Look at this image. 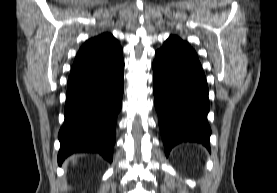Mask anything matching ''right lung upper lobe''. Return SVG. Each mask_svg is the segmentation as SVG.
I'll list each match as a JSON object with an SVG mask.
<instances>
[{
    "instance_id": "cb5924a9",
    "label": "right lung upper lobe",
    "mask_w": 277,
    "mask_h": 193,
    "mask_svg": "<svg viewBox=\"0 0 277 193\" xmlns=\"http://www.w3.org/2000/svg\"><path fill=\"white\" fill-rule=\"evenodd\" d=\"M121 48L117 40L108 33L101 34L85 42L74 60L73 68H80L98 63Z\"/></svg>"
}]
</instances>
